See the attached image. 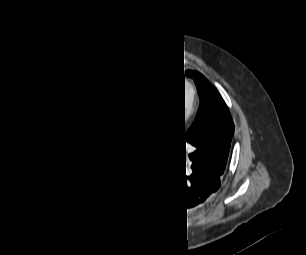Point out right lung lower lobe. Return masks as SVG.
Segmentation results:
<instances>
[{
    "label": "right lung lower lobe",
    "instance_id": "1",
    "mask_svg": "<svg viewBox=\"0 0 306 255\" xmlns=\"http://www.w3.org/2000/svg\"><path fill=\"white\" fill-rule=\"evenodd\" d=\"M126 174L122 170L110 168L100 176H90L78 185L82 197L97 203L119 201L125 193Z\"/></svg>",
    "mask_w": 306,
    "mask_h": 255
}]
</instances>
